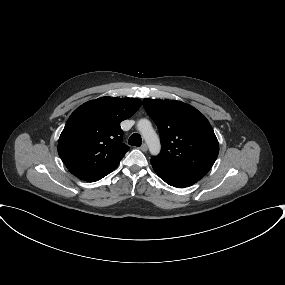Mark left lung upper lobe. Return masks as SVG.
I'll return each instance as SVG.
<instances>
[{"mask_svg": "<svg viewBox=\"0 0 285 285\" xmlns=\"http://www.w3.org/2000/svg\"><path fill=\"white\" fill-rule=\"evenodd\" d=\"M143 105L160 134L161 152L152 158L206 175L219 153V143L208 120L180 101L144 99Z\"/></svg>", "mask_w": 285, "mask_h": 285, "instance_id": "left-lung-upper-lobe-1", "label": "left lung upper lobe"}]
</instances>
